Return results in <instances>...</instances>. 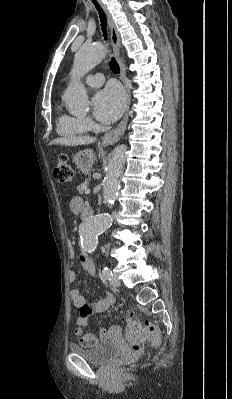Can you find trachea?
Listing matches in <instances>:
<instances>
[{
  "label": "trachea",
  "instance_id": "3493384b",
  "mask_svg": "<svg viewBox=\"0 0 232 399\" xmlns=\"http://www.w3.org/2000/svg\"><path fill=\"white\" fill-rule=\"evenodd\" d=\"M92 2L96 6V8L98 10V13L100 15V21H101V27H102V31H103V36H104L105 40H107V30H106L107 19H106L105 13L100 8V6L96 2V0H92ZM110 69L112 70L113 73H116V74H118L120 72L119 65H118V63L116 62V60L114 58H112L111 61H110Z\"/></svg>",
  "mask_w": 232,
  "mask_h": 399
}]
</instances>
